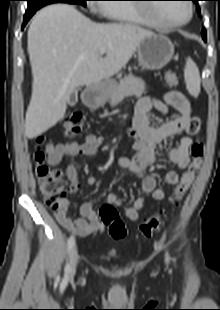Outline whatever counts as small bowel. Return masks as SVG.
I'll return each mask as SVG.
<instances>
[{
    "label": "small bowel",
    "instance_id": "c3829d8e",
    "mask_svg": "<svg viewBox=\"0 0 220 310\" xmlns=\"http://www.w3.org/2000/svg\"><path fill=\"white\" fill-rule=\"evenodd\" d=\"M152 109H157L164 117L161 124L154 123L149 118ZM172 109V110H171ZM200 129V120L191 111V105L184 93L178 90L168 91L162 100L149 96L141 97L135 108V116L132 126L128 129L129 136L135 139V148L138 155L135 159L120 157L116 159L117 164L124 169L142 178V192L131 206H124L116 193H109L106 197L108 203L121 206L127 218L137 221L139 211L145 204L146 197L151 195L155 200H162L165 197V189L156 184L153 175L147 174L146 169L155 159V150L162 141L168 137L182 135L177 145L168 151V159L175 164L177 169H185L190 162V149L192 138L188 134H195ZM105 144V140L96 135H87L83 142L69 141L59 144L49 143L45 146L47 163L58 165L65 156L86 155L94 156L100 146ZM65 173L70 181L69 193H75L79 189L77 167L69 164ZM179 174L177 171H169L164 182L168 186H175L178 183ZM86 182L94 185L97 180L94 176H86ZM69 203L64 199L59 209L54 210V215L58 222L69 232L87 237L104 230L97 211L91 202H85L80 207L81 217L72 220L67 213Z\"/></svg>",
    "mask_w": 220,
    "mask_h": 310
}]
</instances>
